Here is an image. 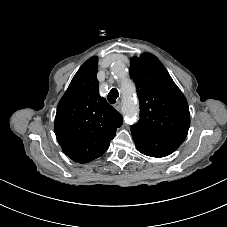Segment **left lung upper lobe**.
<instances>
[{
    "mask_svg": "<svg viewBox=\"0 0 227 227\" xmlns=\"http://www.w3.org/2000/svg\"><path fill=\"white\" fill-rule=\"evenodd\" d=\"M140 104L136 126L182 144L190 127L187 100L162 63L152 54L133 57L130 64Z\"/></svg>",
    "mask_w": 227,
    "mask_h": 227,
    "instance_id": "1",
    "label": "left lung upper lobe"
}]
</instances>
